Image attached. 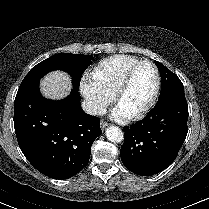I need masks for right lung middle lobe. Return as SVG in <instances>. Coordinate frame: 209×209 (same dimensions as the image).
<instances>
[{"mask_svg":"<svg viewBox=\"0 0 209 209\" xmlns=\"http://www.w3.org/2000/svg\"><path fill=\"white\" fill-rule=\"evenodd\" d=\"M91 59L92 56L89 55L71 53L55 54L33 67L23 79L19 90L33 82L39 81L41 77L52 70H64L68 72L72 76L74 88L78 89L82 73L90 65Z\"/></svg>","mask_w":209,"mask_h":209,"instance_id":"1","label":"right lung middle lobe"}]
</instances>
